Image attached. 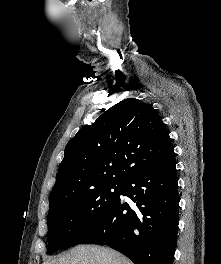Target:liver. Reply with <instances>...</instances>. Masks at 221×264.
<instances>
[{
	"label": "liver",
	"instance_id": "1",
	"mask_svg": "<svg viewBox=\"0 0 221 264\" xmlns=\"http://www.w3.org/2000/svg\"><path fill=\"white\" fill-rule=\"evenodd\" d=\"M43 264H133L122 254L100 246H76L69 253Z\"/></svg>",
	"mask_w": 221,
	"mask_h": 264
}]
</instances>
